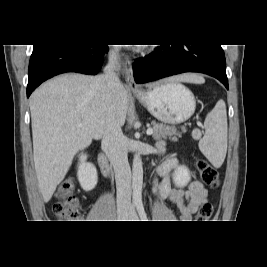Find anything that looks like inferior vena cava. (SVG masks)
Segmentation results:
<instances>
[{
    "instance_id": "602c4592",
    "label": "inferior vena cava",
    "mask_w": 267,
    "mask_h": 267,
    "mask_svg": "<svg viewBox=\"0 0 267 267\" xmlns=\"http://www.w3.org/2000/svg\"><path fill=\"white\" fill-rule=\"evenodd\" d=\"M116 52L117 50L111 52L104 74L99 76L103 86L113 93H116L121 86L120 80L114 72ZM101 145L114 168L117 208L119 211L127 210L131 204V170L128 163L124 135L115 110H109Z\"/></svg>"
}]
</instances>
